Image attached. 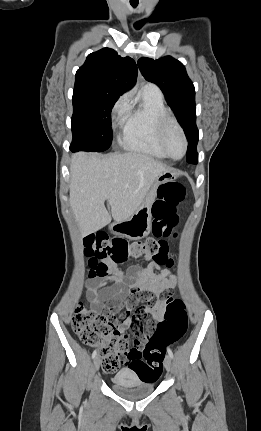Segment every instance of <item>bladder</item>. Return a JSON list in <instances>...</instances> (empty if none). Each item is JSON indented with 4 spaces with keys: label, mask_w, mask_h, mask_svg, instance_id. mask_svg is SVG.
Returning <instances> with one entry per match:
<instances>
[{
    "label": "bladder",
    "mask_w": 261,
    "mask_h": 431,
    "mask_svg": "<svg viewBox=\"0 0 261 431\" xmlns=\"http://www.w3.org/2000/svg\"><path fill=\"white\" fill-rule=\"evenodd\" d=\"M111 387L118 395L128 399H138L150 395L154 390L153 381L140 378L130 369H121L111 379Z\"/></svg>",
    "instance_id": "1"
}]
</instances>
